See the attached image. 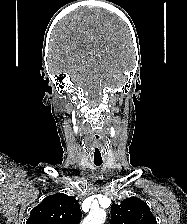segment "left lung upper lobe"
Instances as JSON below:
<instances>
[{
    "label": "left lung upper lobe",
    "mask_w": 187,
    "mask_h": 224,
    "mask_svg": "<svg viewBox=\"0 0 187 224\" xmlns=\"http://www.w3.org/2000/svg\"><path fill=\"white\" fill-rule=\"evenodd\" d=\"M111 224H157L149 206L137 197L111 206Z\"/></svg>",
    "instance_id": "1"
}]
</instances>
